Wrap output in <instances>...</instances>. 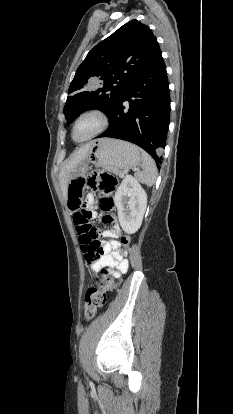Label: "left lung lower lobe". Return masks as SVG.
<instances>
[{
	"mask_svg": "<svg viewBox=\"0 0 233 414\" xmlns=\"http://www.w3.org/2000/svg\"><path fill=\"white\" fill-rule=\"evenodd\" d=\"M125 101L129 102L127 107ZM107 116L110 125L99 137L122 139L140 146L160 169V151L165 148L170 121L169 82L161 51L132 81Z\"/></svg>",
	"mask_w": 233,
	"mask_h": 414,
	"instance_id": "1",
	"label": "left lung lower lobe"
}]
</instances>
